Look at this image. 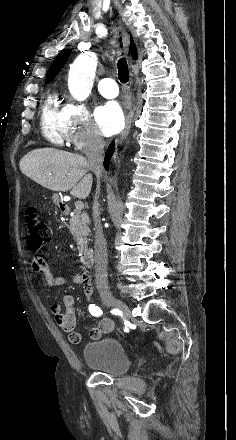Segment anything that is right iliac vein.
Here are the masks:
<instances>
[{
	"label": "right iliac vein",
	"instance_id": "obj_1",
	"mask_svg": "<svg viewBox=\"0 0 236 440\" xmlns=\"http://www.w3.org/2000/svg\"><path fill=\"white\" fill-rule=\"evenodd\" d=\"M101 299L103 303L108 307H115L119 309L127 319L130 318L131 312L126 303L121 300L116 299L110 292L104 291L101 294Z\"/></svg>",
	"mask_w": 236,
	"mask_h": 440
}]
</instances>
